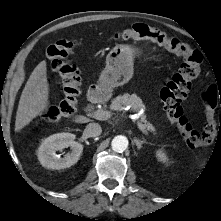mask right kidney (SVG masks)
<instances>
[{"label":"right kidney","mask_w":221,"mask_h":221,"mask_svg":"<svg viewBox=\"0 0 221 221\" xmlns=\"http://www.w3.org/2000/svg\"><path fill=\"white\" fill-rule=\"evenodd\" d=\"M75 135L71 133H57L46 138L38 149V159L43 167L48 169H64L78 162L83 145L74 141ZM70 147L71 153L60 157L56 151Z\"/></svg>","instance_id":"obj_1"}]
</instances>
